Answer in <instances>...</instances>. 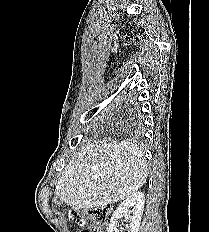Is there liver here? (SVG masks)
<instances>
[{"mask_svg":"<svg viewBox=\"0 0 209 232\" xmlns=\"http://www.w3.org/2000/svg\"><path fill=\"white\" fill-rule=\"evenodd\" d=\"M148 176L144 152L135 144L94 142L66 165L55 195L74 211L122 201L136 193Z\"/></svg>","mask_w":209,"mask_h":232,"instance_id":"liver-1","label":"liver"}]
</instances>
